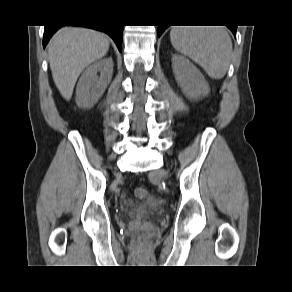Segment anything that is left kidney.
<instances>
[{
	"label": "left kidney",
	"instance_id": "obj_1",
	"mask_svg": "<svg viewBox=\"0 0 292 292\" xmlns=\"http://www.w3.org/2000/svg\"><path fill=\"white\" fill-rule=\"evenodd\" d=\"M172 68L176 81L186 97L198 99L209 94L210 87L201 72L185 57L172 56Z\"/></svg>",
	"mask_w": 292,
	"mask_h": 292
}]
</instances>
